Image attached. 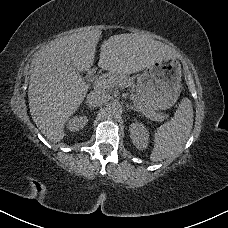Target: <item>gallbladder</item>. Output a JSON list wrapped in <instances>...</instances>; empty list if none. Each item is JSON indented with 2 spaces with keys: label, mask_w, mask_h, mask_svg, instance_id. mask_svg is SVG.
Instances as JSON below:
<instances>
[{
  "label": "gallbladder",
  "mask_w": 228,
  "mask_h": 228,
  "mask_svg": "<svg viewBox=\"0 0 228 228\" xmlns=\"http://www.w3.org/2000/svg\"><path fill=\"white\" fill-rule=\"evenodd\" d=\"M71 71L74 72V73H78V70L75 69V68H72Z\"/></svg>",
  "instance_id": "gallbladder-1"
}]
</instances>
